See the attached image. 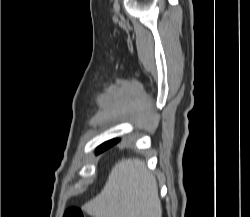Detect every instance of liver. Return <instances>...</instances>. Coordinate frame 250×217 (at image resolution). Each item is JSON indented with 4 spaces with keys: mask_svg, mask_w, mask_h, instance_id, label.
<instances>
[{
    "mask_svg": "<svg viewBox=\"0 0 250 217\" xmlns=\"http://www.w3.org/2000/svg\"><path fill=\"white\" fill-rule=\"evenodd\" d=\"M83 209L94 217H162L156 178L138 158H122Z\"/></svg>",
    "mask_w": 250,
    "mask_h": 217,
    "instance_id": "6515ba94",
    "label": "liver"
}]
</instances>
